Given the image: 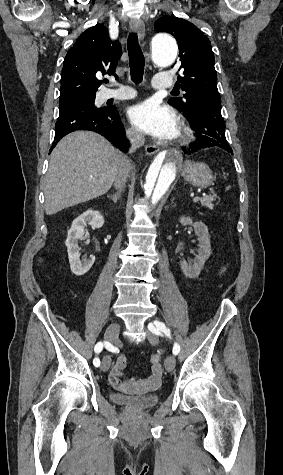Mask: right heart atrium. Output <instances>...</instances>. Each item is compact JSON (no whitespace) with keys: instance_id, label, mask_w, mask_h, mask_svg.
<instances>
[{"instance_id":"obj_1","label":"right heart atrium","mask_w":283,"mask_h":475,"mask_svg":"<svg viewBox=\"0 0 283 475\" xmlns=\"http://www.w3.org/2000/svg\"><path fill=\"white\" fill-rule=\"evenodd\" d=\"M127 139L129 141V144L133 148H137L141 145V138L137 134H135L133 131L127 132Z\"/></svg>"}]
</instances>
